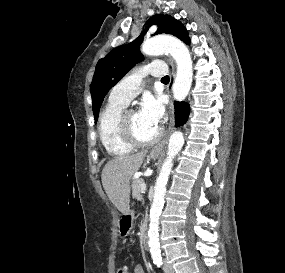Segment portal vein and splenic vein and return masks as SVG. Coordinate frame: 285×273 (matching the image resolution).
I'll return each mask as SVG.
<instances>
[{
    "label": "portal vein and splenic vein",
    "mask_w": 285,
    "mask_h": 273,
    "mask_svg": "<svg viewBox=\"0 0 285 273\" xmlns=\"http://www.w3.org/2000/svg\"><path fill=\"white\" fill-rule=\"evenodd\" d=\"M141 191H145L146 190V184L143 182L140 186Z\"/></svg>",
    "instance_id": "portal-vein-and-splenic-vein-1"
}]
</instances>
